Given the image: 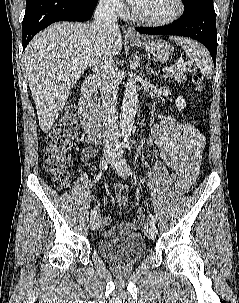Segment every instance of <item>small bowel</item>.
Listing matches in <instances>:
<instances>
[{
    "mask_svg": "<svg viewBox=\"0 0 239 303\" xmlns=\"http://www.w3.org/2000/svg\"><path fill=\"white\" fill-rule=\"evenodd\" d=\"M150 140L160 148L161 158L171 169L176 190H187L194 183L199 173L202 154L206 146L204 136L191 124H179L164 118L159 124L150 129ZM85 141L91 145L98 143V140L91 135H87ZM95 154L96 148L89 146L82 150L81 158L84 162H87ZM121 189V184L115 185L117 193ZM138 216L142 219L140 212ZM101 223V234L105 238H110L115 234H129L137 226L138 221H126L110 228L111 218L103 216Z\"/></svg>",
    "mask_w": 239,
    "mask_h": 303,
    "instance_id": "1",
    "label": "small bowel"
}]
</instances>
